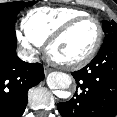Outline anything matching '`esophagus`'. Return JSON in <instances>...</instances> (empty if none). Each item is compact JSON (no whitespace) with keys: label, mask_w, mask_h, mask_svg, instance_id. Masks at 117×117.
I'll return each mask as SVG.
<instances>
[{"label":"esophagus","mask_w":117,"mask_h":117,"mask_svg":"<svg viewBox=\"0 0 117 117\" xmlns=\"http://www.w3.org/2000/svg\"><path fill=\"white\" fill-rule=\"evenodd\" d=\"M51 70H52L51 68H49V67L46 66V67L44 68V73H45V75H47L48 73H50Z\"/></svg>","instance_id":"34e87169"}]
</instances>
